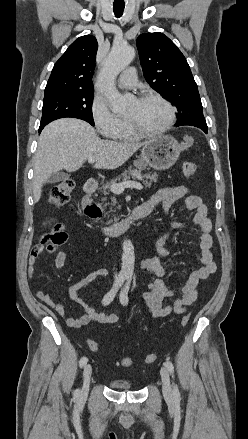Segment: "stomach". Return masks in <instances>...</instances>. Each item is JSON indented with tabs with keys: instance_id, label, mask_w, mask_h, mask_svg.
Instances as JSON below:
<instances>
[{
	"instance_id": "obj_1",
	"label": "stomach",
	"mask_w": 248,
	"mask_h": 439,
	"mask_svg": "<svg viewBox=\"0 0 248 439\" xmlns=\"http://www.w3.org/2000/svg\"><path fill=\"white\" fill-rule=\"evenodd\" d=\"M182 146L170 136H159L148 141L141 150V161L155 170H166L175 164Z\"/></svg>"
}]
</instances>
